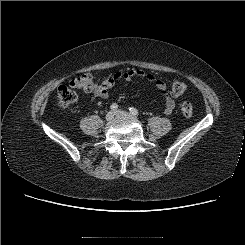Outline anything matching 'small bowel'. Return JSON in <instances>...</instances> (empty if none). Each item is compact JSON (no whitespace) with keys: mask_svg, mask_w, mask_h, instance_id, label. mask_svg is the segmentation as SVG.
<instances>
[{"mask_svg":"<svg viewBox=\"0 0 245 245\" xmlns=\"http://www.w3.org/2000/svg\"><path fill=\"white\" fill-rule=\"evenodd\" d=\"M132 78H143L148 82L154 83L159 94L164 96L165 114L169 115L173 112L175 101L167 92V84L163 80L156 78L153 74L146 73L141 69H130L127 71L116 72L112 76L101 80L93 92L92 98H108L110 95V89L113 88L117 82L121 80H131Z\"/></svg>","mask_w":245,"mask_h":245,"instance_id":"small-bowel-1","label":"small bowel"}]
</instances>
